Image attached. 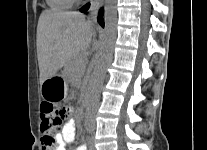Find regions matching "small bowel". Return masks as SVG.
I'll return each mask as SVG.
<instances>
[{
	"instance_id": "small-bowel-1",
	"label": "small bowel",
	"mask_w": 207,
	"mask_h": 150,
	"mask_svg": "<svg viewBox=\"0 0 207 150\" xmlns=\"http://www.w3.org/2000/svg\"><path fill=\"white\" fill-rule=\"evenodd\" d=\"M76 138V123L74 120H69L54 136L56 143L55 150H66V147L74 142ZM76 150H88V145H78Z\"/></svg>"
}]
</instances>
